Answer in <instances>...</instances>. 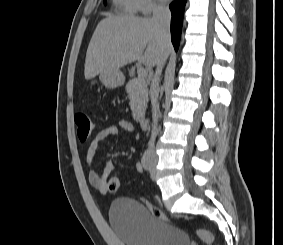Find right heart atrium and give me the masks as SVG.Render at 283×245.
I'll return each instance as SVG.
<instances>
[{
	"label": "right heart atrium",
	"mask_w": 283,
	"mask_h": 245,
	"mask_svg": "<svg viewBox=\"0 0 283 245\" xmlns=\"http://www.w3.org/2000/svg\"><path fill=\"white\" fill-rule=\"evenodd\" d=\"M162 0H136L137 8L144 14H149L160 7Z\"/></svg>",
	"instance_id": "1"
}]
</instances>
